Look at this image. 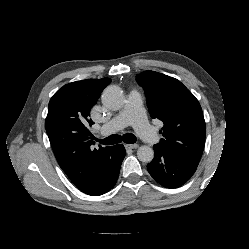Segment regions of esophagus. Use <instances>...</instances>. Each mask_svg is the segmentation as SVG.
I'll list each match as a JSON object with an SVG mask.
<instances>
[{
	"mask_svg": "<svg viewBox=\"0 0 249 249\" xmlns=\"http://www.w3.org/2000/svg\"><path fill=\"white\" fill-rule=\"evenodd\" d=\"M138 147H139L138 144H125L126 150H129V149H137Z\"/></svg>",
	"mask_w": 249,
	"mask_h": 249,
	"instance_id": "esophagus-1",
	"label": "esophagus"
}]
</instances>
